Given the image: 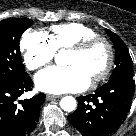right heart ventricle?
I'll return each mask as SVG.
<instances>
[{"label":"right heart ventricle","mask_w":136,"mask_h":136,"mask_svg":"<svg viewBox=\"0 0 136 136\" xmlns=\"http://www.w3.org/2000/svg\"><path fill=\"white\" fill-rule=\"evenodd\" d=\"M98 35L95 29L80 22L52 25L48 38L56 50L69 49L79 41Z\"/></svg>","instance_id":"e07e8e85"}]
</instances>
